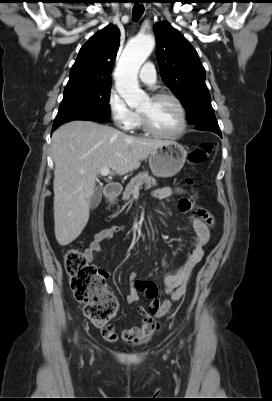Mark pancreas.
<instances>
[{"mask_svg":"<svg viewBox=\"0 0 272 401\" xmlns=\"http://www.w3.org/2000/svg\"><path fill=\"white\" fill-rule=\"evenodd\" d=\"M142 185H145L146 189H150V188L156 186L157 182L154 177L149 176L148 172H146V171L140 172L135 177H133L130 180V182L127 184V186L123 192L122 200L128 201L130 199L131 195L133 194V192L135 190L141 188Z\"/></svg>","mask_w":272,"mask_h":401,"instance_id":"1","label":"pancreas"}]
</instances>
